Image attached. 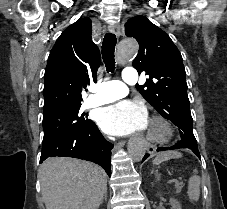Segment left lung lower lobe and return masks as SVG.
<instances>
[{
    "mask_svg": "<svg viewBox=\"0 0 227 209\" xmlns=\"http://www.w3.org/2000/svg\"><path fill=\"white\" fill-rule=\"evenodd\" d=\"M180 148L191 149L196 154V156L200 158V153H199L198 149H195L194 147H191V146H188V145H183L180 142H178L177 144H175L172 147H160V148L157 149V151H164V150H168V149H180ZM148 156H149V154H146L144 156L143 160H145Z\"/></svg>",
    "mask_w": 227,
    "mask_h": 209,
    "instance_id": "left-lung-lower-lobe-1",
    "label": "left lung lower lobe"
}]
</instances>
